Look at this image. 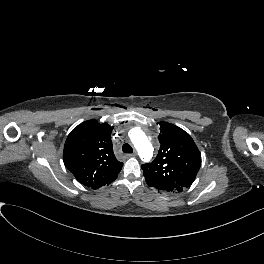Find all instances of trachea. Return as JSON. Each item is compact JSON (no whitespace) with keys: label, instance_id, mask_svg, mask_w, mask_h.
<instances>
[{"label":"trachea","instance_id":"1","mask_svg":"<svg viewBox=\"0 0 264 264\" xmlns=\"http://www.w3.org/2000/svg\"><path fill=\"white\" fill-rule=\"evenodd\" d=\"M122 151L124 153H132L133 152V149L131 147V145H129L128 143H125L123 146H122Z\"/></svg>","mask_w":264,"mask_h":264}]
</instances>
